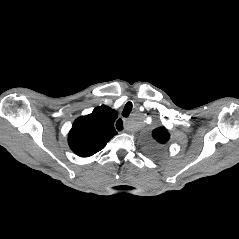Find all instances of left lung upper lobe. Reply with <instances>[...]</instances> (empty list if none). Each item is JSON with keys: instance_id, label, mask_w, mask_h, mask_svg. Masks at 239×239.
<instances>
[{"instance_id": "5c2ea615", "label": "left lung upper lobe", "mask_w": 239, "mask_h": 239, "mask_svg": "<svg viewBox=\"0 0 239 239\" xmlns=\"http://www.w3.org/2000/svg\"><path fill=\"white\" fill-rule=\"evenodd\" d=\"M153 137L159 143L165 144L169 139V134L164 127H161V128H157V129L154 130Z\"/></svg>"}]
</instances>
